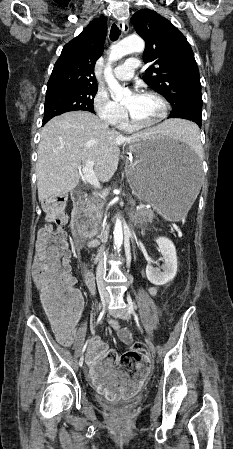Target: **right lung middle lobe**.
Wrapping results in <instances>:
<instances>
[{
	"label": "right lung middle lobe",
	"mask_w": 233,
	"mask_h": 449,
	"mask_svg": "<svg viewBox=\"0 0 233 449\" xmlns=\"http://www.w3.org/2000/svg\"><path fill=\"white\" fill-rule=\"evenodd\" d=\"M98 87L62 89L46 94L43 124L64 112L84 110L94 113L93 101Z\"/></svg>",
	"instance_id": "dd1d6c3e"
}]
</instances>
